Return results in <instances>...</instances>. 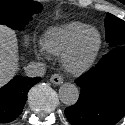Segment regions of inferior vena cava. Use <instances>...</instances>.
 I'll return each instance as SVG.
<instances>
[{
	"label": "inferior vena cava",
	"mask_w": 125,
	"mask_h": 125,
	"mask_svg": "<svg viewBox=\"0 0 125 125\" xmlns=\"http://www.w3.org/2000/svg\"><path fill=\"white\" fill-rule=\"evenodd\" d=\"M25 74L28 77H42L45 74V65L42 62H30L25 67Z\"/></svg>",
	"instance_id": "obj_1"
}]
</instances>
